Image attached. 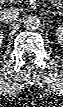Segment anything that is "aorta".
<instances>
[{
    "instance_id": "1",
    "label": "aorta",
    "mask_w": 63,
    "mask_h": 107,
    "mask_svg": "<svg viewBox=\"0 0 63 107\" xmlns=\"http://www.w3.org/2000/svg\"><path fill=\"white\" fill-rule=\"evenodd\" d=\"M40 24V18L37 15H27L24 18V27L28 30H36Z\"/></svg>"
}]
</instances>
